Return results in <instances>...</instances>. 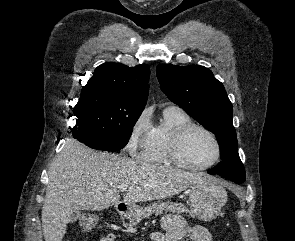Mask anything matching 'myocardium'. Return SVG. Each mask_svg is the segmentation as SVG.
I'll use <instances>...</instances> for the list:
<instances>
[{"label": "myocardium", "instance_id": "myocardium-1", "mask_svg": "<svg viewBox=\"0 0 295 241\" xmlns=\"http://www.w3.org/2000/svg\"><path fill=\"white\" fill-rule=\"evenodd\" d=\"M193 129H199L204 131L206 134L210 136V138L213 140L215 144V147H216L215 157L213 158L211 162L205 165H200V166L191 165L186 163L181 157V154H180L181 144L184 138L186 137V135ZM221 153H222L221 143L218 137L216 136V134L212 130H210L208 127L199 123H194V122L187 123L179 127L178 129H176L174 133L172 134V136L170 137L168 141V145H167V154L170 161L180 168L191 170V171H203L213 167L219 161L221 157Z\"/></svg>", "mask_w": 295, "mask_h": 241}]
</instances>
